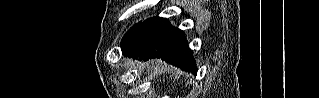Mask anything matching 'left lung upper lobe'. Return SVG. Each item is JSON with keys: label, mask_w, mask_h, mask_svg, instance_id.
Returning <instances> with one entry per match:
<instances>
[{"label": "left lung upper lobe", "mask_w": 319, "mask_h": 98, "mask_svg": "<svg viewBox=\"0 0 319 98\" xmlns=\"http://www.w3.org/2000/svg\"><path fill=\"white\" fill-rule=\"evenodd\" d=\"M140 25H141V22L137 23L125 34L121 42V47L125 45L132 38V36L136 33Z\"/></svg>", "instance_id": "left-lung-upper-lobe-1"}]
</instances>
